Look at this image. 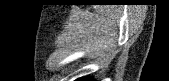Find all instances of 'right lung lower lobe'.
<instances>
[{"label": "right lung lower lobe", "instance_id": "1", "mask_svg": "<svg viewBox=\"0 0 169 81\" xmlns=\"http://www.w3.org/2000/svg\"><path fill=\"white\" fill-rule=\"evenodd\" d=\"M78 81H91L89 78H84V79H78Z\"/></svg>", "mask_w": 169, "mask_h": 81}]
</instances>
